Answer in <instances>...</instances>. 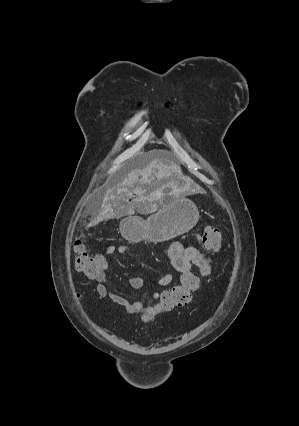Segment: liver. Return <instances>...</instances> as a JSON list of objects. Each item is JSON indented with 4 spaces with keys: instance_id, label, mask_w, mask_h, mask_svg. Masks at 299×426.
<instances>
[{
    "instance_id": "6515ba94",
    "label": "liver",
    "mask_w": 299,
    "mask_h": 426,
    "mask_svg": "<svg viewBox=\"0 0 299 426\" xmlns=\"http://www.w3.org/2000/svg\"><path fill=\"white\" fill-rule=\"evenodd\" d=\"M183 178L180 167L168 159L164 151H157L146 167L131 170L119 183L106 190L99 214L89 223L95 226L104 219L132 215L135 210L154 212L163 203L165 187L172 178ZM136 194L137 197L129 202Z\"/></svg>"
}]
</instances>
